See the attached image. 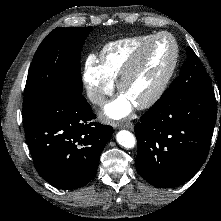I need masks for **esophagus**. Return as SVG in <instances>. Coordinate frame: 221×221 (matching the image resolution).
Segmentation results:
<instances>
[{"instance_id": "obj_1", "label": "esophagus", "mask_w": 221, "mask_h": 221, "mask_svg": "<svg viewBox=\"0 0 221 221\" xmlns=\"http://www.w3.org/2000/svg\"><path fill=\"white\" fill-rule=\"evenodd\" d=\"M119 128H127L129 130H133L134 124L132 122H125L118 125Z\"/></svg>"}]
</instances>
